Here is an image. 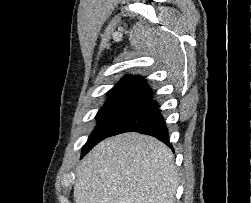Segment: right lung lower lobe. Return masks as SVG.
Returning a JSON list of instances; mask_svg holds the SVG:
<instances>
[{"instance_id":"obj_1","label":"right lung lower lobe","mask_w":251,"mask_h":203,"mask_svg":"<svg viewBox=\"0 0 251 203\" xmlns=\"http://www.w3.org/2000/svg\"><path fill=\"white\" fill-rule=\"evenodd\" d=\"M125 132H138L153 136L173 149L169 142L168 129L165 126L164 118L158 106L144 111L123 123L110 136Z\"/></svg>"}]
</instances>
